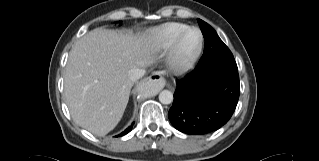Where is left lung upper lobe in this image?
<instances>
[{
    "mask_svg": "<svg viewBox=\"0 0 319 161\" xmlns=\"http://www.w3.org/2000/svg\"><path fill=\"white\" fill-rule=\"evenodd\" d=\"M197 21L205 39L204 53L197 67L222 65L237 68L233 54L219 38L216 31L206 22L200 19Z\"/></svg>",
    "mask_w": 319,
    "mask_h": 161,
    "instance_id": "5c2ea615",
    "label": "left lung upper lobe"
}]
</instances>
